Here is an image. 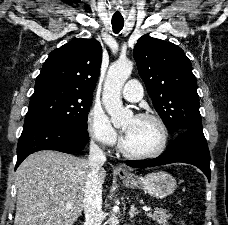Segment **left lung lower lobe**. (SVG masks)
<instances>
[{"mask_svg":"<svg viewBox=\"0 0 228 225\" xmlns=\"http://www.w3.org/2000/svg\"><path fill=\"white\" fill-rule=\"evenodd\" d=\"M159 157L151 160L127 161L131 167H154L170 163H188L197 166L210 181V153L203 131H182Z\"/></svg>","mask_w":228,"mask_h":225,"instance_id":"0a47b994","label":"left lung lower lobe"}]
</instances>
